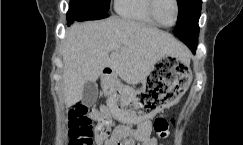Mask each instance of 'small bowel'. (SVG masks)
Listing matches in <instances>:
<instances>
[{"instance_id":"c3829d8e","label":"small bowel","mask_w":243,"mask_h":145,"mask_svg":"<svg viewBox=\"0 0 243 145\" xmlns=\"http://www.w3.org/2000/svg\"><path fill=\"white\" fill-rule=\"evenodd\" d=\"M95 120L100 121L103 117H109L107 108L100 107L93 111ZM158 134V133H157ZM160 137L165 135L158 134ZM97 145H158L157 137L153 134L151 122L148 120L141 121L136 130L127 126H117L110 131L106 137H96Z\"/></svg>"}]
</instances>
